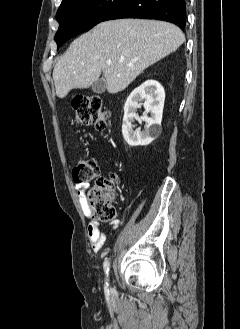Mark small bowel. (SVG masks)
<instances>
[{"label":"small bowel","instance_id":"1","mask_svg":"<svg viewBox=\"0 0 240 329\" xmlns=\"http://www.w3.org/2000/svg\"><path fill=\"white\" fill-rule=\"evenodd\" d=\"M87 187H88L87 183L75 184L74 190L78 195V199H79L82 209L84 210L86 215L89 216V209L87 207L86 197L84 194ZM117 227H118V223L114 222L112 224V230H115ZM87 232H88L89 240L91 242L92 249L94 251H99L102 248L105 238H106L105 233L102 232L99 228V223L96 221L90 220L88 223Z\"/></svg>","mask_w":240,"mask_h":329}]
</instances>
